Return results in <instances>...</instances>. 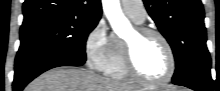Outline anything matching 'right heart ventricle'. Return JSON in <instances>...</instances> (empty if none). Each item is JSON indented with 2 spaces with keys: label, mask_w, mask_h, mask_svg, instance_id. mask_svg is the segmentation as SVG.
I'll use <instances>...</instances> for the list:
<instances>
[{
  "label": "right heart ventricle",
  "mask_w": 220,
  "mask_h": 91,
  "mask_svg": "<svg viewBox=\"0 0 220 91\" xmlns=\"http://www.w3.org/2000/svg\"><path fill=\"white\" fill-rule=\"evenodd\" d=\"M104 73L106 76L118 80L130 79L125 67L123 40L118 37H114L113 55L106 65Z\"/></svg>",
  "instance_id": "obj_1"
}]
</instances>
